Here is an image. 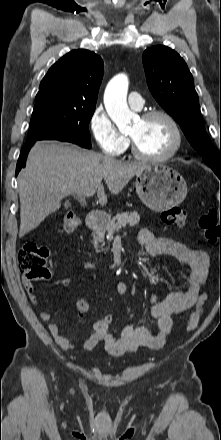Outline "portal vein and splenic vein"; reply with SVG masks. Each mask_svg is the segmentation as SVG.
I'll list each match as a JSON object with an SVG mask.
<instances>
[{"label": "portal vein and splenic vein", "instance_id": "obj_1", "mask_svg": "<svg viewBox=\"0 0 221 440\" xmlns=\"http://www.w3.org/2000/svg\"><path fill=\"white\" fill-rule=\"evenodd\" d=\"M94 193H95V191H94V190H91V191L86 192L84 195H85L86 197H90V196H92Z\"/></svg>", "mask_w": 221, "mask_h": 440}]
</instances>
